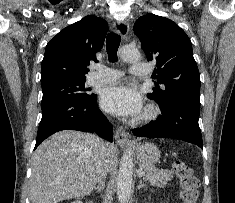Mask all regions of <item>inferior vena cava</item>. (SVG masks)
Masks as SVG:
<instances>
[{
	"instance_id": "obj_1",
	"label": "inferior vena cava",
	"mask_w": 235,
	"mask_h": 203,
	"mask_svg": "<svg viewBox=\"0 0 235 203\" xmlns=\"http://www.w3.org/2000/svg\"><path fill=\"white\" fill-rule=\"evenodd\" d=\"M106 147H107V143L102 142L101 144L102 161H101V166H100L99 175H98L99 185H101L104 182V179L107 175V170H108V162L106 159Z\"/></svg>"
}]
</instances>
